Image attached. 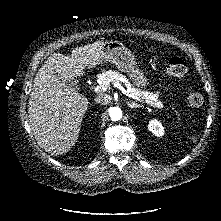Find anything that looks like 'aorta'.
<instances>
[{
	"mask_svg": "<svg viewBox=\"0 0 221 221\" xmlns=\"http://www.w3.org/2000/svg\"><path fill=\"white\" fill-rule=\"evenodd\" d=\"M109 115L112 121H118L122 118V110L119 107H111Z\"/></svg>",
	"mask_w": 221,
	"mask_h": 221,
	"instance_id": "aorta-1",
	"label": "aorta"
}]
</instances>
